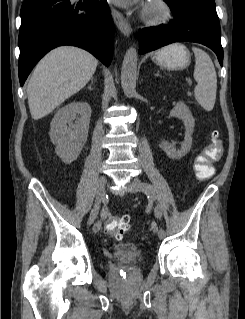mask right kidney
Here are the masks:
<instances>
[{
    "label": "right kidney",
    "instance_id": "obj_1",
    "mask_svg": "<svg viewBox=\"0 0 245 319\" xmlns=\"http://www.w3.org/2000/svg\"><path fill=\"white\" fill-rule=\"evenodd\" d=\"M91 107L86 102H72L57 111L49 132L56 154L71 163L80 155L88 137ZM78 115L80 117H78ZM75 124L67 123L75 120Z\"/></svg>",
    "mask_w": 245,
    "mask_h": 319
}]
</instances>
